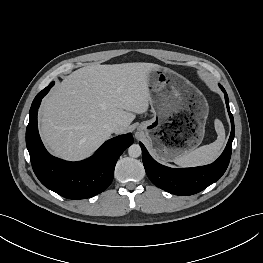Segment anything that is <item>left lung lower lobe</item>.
Instances as JSON below:
<instances>
[{"label": "left lung lower lobe", "instance_id": "1", "mask_svg": "<svg viewBox=\"0 0 263 263\" xmlns=\"http://www.w3.org/2000/svg\"><path fill=\"white\" fill-rule=\"evenodd\" d=\"M225 94V102L231 120V134L227 146L221 156L212 164L193 168L174 169L157 163L148 153L142 143L143 164L149 179L157 187L175 194L192 195L198 193L216 182L226 171L232 152L234 139V119L230 112L229 100L225 89L219 85Z\"/></svg>", "mask_w": 263, "mask_h": 263}]
</instances>
